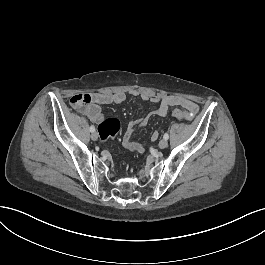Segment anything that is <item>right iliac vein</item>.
Segmentation results:
<instances>
[{
    "label": "right iliac vein",
    "mask_w": 265,
    "mask_h": 265,
    "mask_svg": "<svg viewBox=\"0 0 265 265\" xmlns=\"http://www.w3.org/2000/svg\"><path fill=\"white\" fill-rule=\"evenodd\" d=\"M98 138H99L98 133L97 132H92L91 139L94 140V141H96V140H98Z\"/></svg>",
    "instance_id": "obj_1"
}]
</instances>
